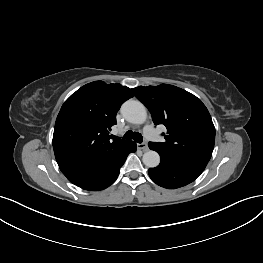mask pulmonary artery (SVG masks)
Returning a JSON list of instances; mask_svg holds the SVG:
<instances>
[{
    "mask_svg": "<svg viewBox=\"0 0 263 263\" xmlns=\"http://www.w3.org/2000/svg\"><path fill=\"white\" fill-rule=\"evenodd\" d=\"M145 134H146L147 139H149L151 141H154L157 138L156 132L150 128L145 129Z\"/></svg>",
    "mask_w": 263,
    "mask_h": 263,
    "instance_id": "pulmonary-artery-1",
    "label": "pulmonary artery"
}]
</instances>
